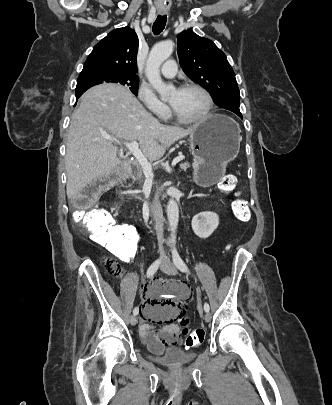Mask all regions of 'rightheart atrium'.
<instances>
[{
    "mask_svg": "<svg viewBox=\"0 0 332 405\" xmlns=\"http://www.w3.org/2000/svg\"><path fill=\"white\" fill-rule=\"evenodd\" d=\"M137 96L144 107L153 115L165 118L168 113V107L160 101L155 93L146 85H140Z\"/></svg>",
    "mask_w": 332,
    "mask_h": 405,
    "instance_id": "1",
    "label": "right heart atrium"
}]
</instances>
